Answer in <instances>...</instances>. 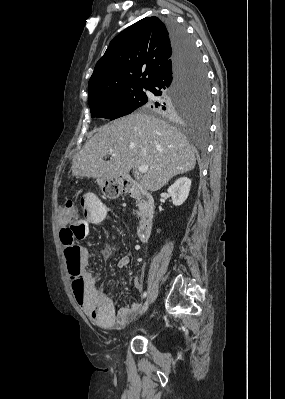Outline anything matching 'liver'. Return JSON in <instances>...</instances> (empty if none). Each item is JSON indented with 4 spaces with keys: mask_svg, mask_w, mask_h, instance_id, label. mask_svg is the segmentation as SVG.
Returning a JSON list of instances; mask_svg holds the SVG:
<instances>
[{
    "mask_svg": "<svg viewBox=\"0 0 285 399\" xmlns=\"http://www.w3.org/2000/svg\"><path fill=\"white\" fill-rule=\"evenodd\" d=\"M116 156L104 161V156ZM197 150L174 126L142 112L116 119L97 130L72 160V174L111 179L127 177L132 168L147 165L141 186L160 190L176 175L194 169Z\"/></svg>",
    "mask_w": 285,
    "mask_h": 399,
    "instance_id": "1",
    "label": "liver"
}]
</instances>
